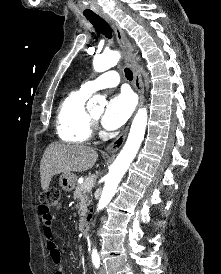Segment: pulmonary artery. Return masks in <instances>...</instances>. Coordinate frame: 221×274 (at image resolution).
Listing matches in <instances>:
<instances>
[{"label":"pulmonary artery","instance_id":"pulmonary-artery-1","mask_svg":"<svg viewBox=\"0 0 221 274\" xmlns=\"http://www.w3.org/2000/svg\"><path fill=\"white\" fill-rule=\"evenodd\" d=\"M119 74L116 71H108L93 80H89L82 85V89L89 94L97 90L116 87L119 84Z\"/></svg>","mask_w":221,"mask_h":274}]
</instances>
